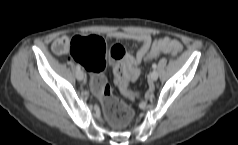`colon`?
<instances>
[{"mask_svg":"<svg viewBox=\"0 0 238 145\" xmlns=\"http://www.w3.org/2000/svg\"><path fill=\"white\" fill-rule=\"evenodd\" d=\"M180 50L181 48L172 40L163 38L154 43L146 59H153L161 53L176 55ZM70 54L77 63L92 74L91 89L99 99L108 122L115 128H123L128 125L133 118L132 109L113 94L102 74L109 55L116 62L114 69L116 85L128 98L134 99L137 97V93L131 91L128 87L129 76L127 66L123 62L126 54L123 46L114 44L107 50L104 40L98 36H75L70 41Z\"/></svg>","mask_w":238,"mask_h":145,"instance_id":"5ec220e1","label":"colon"}]
</instances>
